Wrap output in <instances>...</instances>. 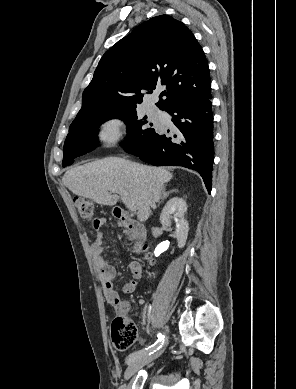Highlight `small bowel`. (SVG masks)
<instances>
[{
    "label": "small bowel",
    "instance_id": "small-bowel-1",
    "mask_svg": "<svg viewBox=\"0 0 296 389\" xmlns=\"http://www.w3.org/2000/svg\"><path fill=\"white\" fill-rule=\"evenodd\" d=\"M104 226L105 220L103 219H98L94 223L96 235L91 245L90 251L93 257L94 264L99 271L103 294L107 303H109L114 308L117 314L124 315L129 311L130 303L126 300H122L118 292L115 290L113 284L115 270L102 256L103 234L101 230ZM128 268L131 273V279L126 282L122 287V292L124 294L134 293L142 276V268L138 262H131Z\"/></svg>",
    "mask_w": 296,
    "mask_h": 389
}]
</instances>
